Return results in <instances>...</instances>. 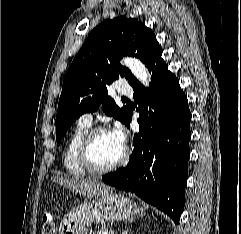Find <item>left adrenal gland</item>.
<instances>
[{
	"mask_svg": "<svg viewBox=\"0 0 241 234\" xmlns=\"http://www.w3.org/2000/svg\"><path fill=\"white\" fill-rule=\"evenodd\" d=\"M128 233V229L127 230H125L122 234H127Z\"/></svg>",
	"mask_w": 241,
	"mask_h": 234,
	"instance_id": "obj_1",
	"label": "left adrenal gland"
}]
</instances>
